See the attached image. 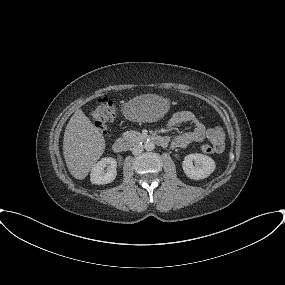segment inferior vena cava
<instances>
[{"mask_svg": "<svg viewBox=\"0 0 285 285\" xmlns=\"http://www.w3.org/2000/svg\"><path fill=\"white\" fill-rule=\"evenodd\" d=\"M133 155H138L143 151V146L140 144H136L131 149Z\"/></svg>", "mask_w": 285, "mask_h": 285, "instance_id": "inferior-vena-cava-1", "label": "inferior vena cava"}]
</instances>
